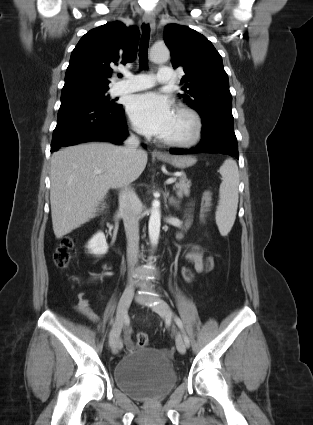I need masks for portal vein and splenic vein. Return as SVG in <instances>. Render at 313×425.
<instances>
[{
    "label": "portal vein and splenic vein",
    "mask_w": 313,
    "mask_h": 425,
    "mask_svg": "<svg viewBox=\"0 0 313 425\" xmlns=\"http://www.w3.org/2000/svg\"><path fill=\"white\" fill-rule=\"evenodd\" d=\"M101 172H102V170H100V169H96V170H94V173H96V174L101 173ZM175 181H176V178H169V179H167L166 183H167V184H172V183H174Z\"/></svg>",
    "instance_id": "1"
}]
</instances>
